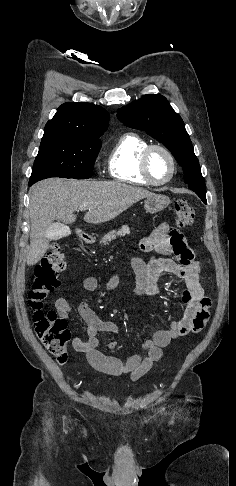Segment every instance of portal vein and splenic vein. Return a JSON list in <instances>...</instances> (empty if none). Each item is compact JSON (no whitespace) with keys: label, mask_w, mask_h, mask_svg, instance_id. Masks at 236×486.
Returning a JSON list of instances; mask_svg holds the SVG:
<instances>
[{"label":"portal vein and splenic vein","mask_w":236,"mask_h":486,"mask_svg":"<svg viewBox=\"0 0 236 486\" xmlns=\"http://www.w3.org/2000/svg\"><path fill=\"white\" fill-rule=\"evenodd\" d=\"M80 210H81V211H84V210H86V209H85V208H81Z\"/></svg>","instance_id":"1"}]
</instances>
